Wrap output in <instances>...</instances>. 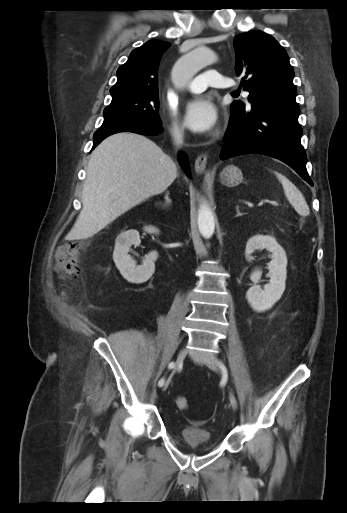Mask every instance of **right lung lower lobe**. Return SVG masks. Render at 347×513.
<instances>
[{
	"mask_svg": "<svg viewBox=\"0 0 347 513\" xmlns=\"http://www.w3.org/2000/svg\"><path fill=\"white\" fill-rule=\"evenodd\" d=\"M161 131V126L140 121H120L102 126L94 133L92 150L107 136L118 132H135L145 135H155ZM179 161L189 175V161L184 153L179 154Z\"/></svg>",
	"mask_w": 347,
	"mask_h": 513,
	"instance_id": "1",
	"label": "right lung lower lobe"
}]
</instances>
